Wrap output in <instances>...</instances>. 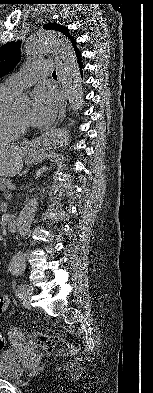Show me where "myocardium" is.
<instances>
[{"label": "myocardium", "instance_id": "obj_1", "mask_svg": "<svg viewBox=\"0 0 153 393\" xmlns=\"http://www.w3.org/2000/svg\"><path fill=\"white\" fill-rule=\"evenodd\" d=\"M11 116H12V123L19 133L24 134L25 132L30 130V126L26 123H23L13 110Z\"/></svg>", "mask_w": 153, "mask_h": 393}]
</instances>
